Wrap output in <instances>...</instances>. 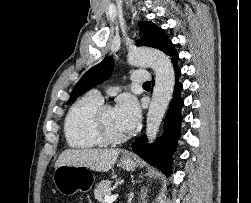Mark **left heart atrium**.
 <instances>
[{"mask_svg":"<svg viewBox=\"0 0 251 203\" xmlns=\"http://www.w3.org/2000/svg\"><path fill=\"white\" fill-rule=\"evenodd\" d=\"M114 109L119 125L126 132L133 130L138 125L141 111L135 97L130 94L121 95Z\"/></svg>","mask_w":251,"mask_h":203,"instance_id":"39dd6f15","label":"left heart atrium"}]
</instances>
